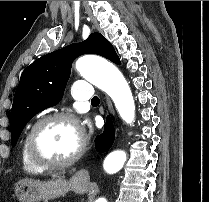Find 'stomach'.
<instances>
[{
	"mask_svg": "<svg viewBox=\"0 0 209 202\" xmlns=\"http://www.w3.org/2000/svg\"><path fill=\"white\" fill-rule=\"evenodd\" d=\"M89 189V182L78 174L69 180L57 177L48 181L22 179L15 184V196L20 202H47L50 199L64 196L68 191L84 194Z\"/></svg>",
	"mask_w": 209,
	"mask_h": 202,
	"instance_id": "1",
	"label": "stomach"
}]
</instances>
